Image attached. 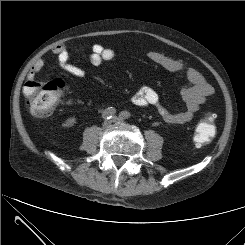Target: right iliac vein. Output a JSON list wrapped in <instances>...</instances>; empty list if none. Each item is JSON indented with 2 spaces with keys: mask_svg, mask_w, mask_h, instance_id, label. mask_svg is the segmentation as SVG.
<instances>
[{
  "mask_svg": "<svg viewBox=\"0 0 245 245\" xmlns=\"http://www.w3.org/2000/svg\"><path fill=\"white\" fill-rule=\"evenodd\" d=\"M113 123H116V119H115V118H113L112 120H109V121H105V122L103 123V128H104V129H108V128L111 127V125H112Z\"/></svg>",
  "mask_w": 245,
  "mask_h": 245,
  "instance_id": "obj_1",
  "label": "right iliac vein"
}]
</instances>
